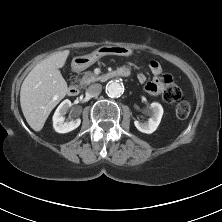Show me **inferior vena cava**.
I'll return each instance as SVG.
<instances>
[{"label":"inferior vena cava","mask_w":222,"mask_h":222,"mask_svg":"<svg viewBox=\"0 0 222 222\" xmlns=\"http://www.w3.org/2000/svg\"><path fill=\"white\" fill-rule=\"evenodd\" d=\"M102 91V85L99 83L90 85L86 90V94L90 97H97Z\"/></svg>","instance_id":"602c4592"}]
</instances>
